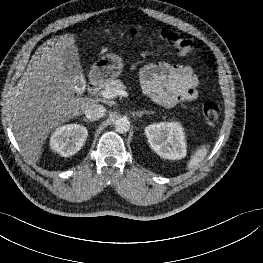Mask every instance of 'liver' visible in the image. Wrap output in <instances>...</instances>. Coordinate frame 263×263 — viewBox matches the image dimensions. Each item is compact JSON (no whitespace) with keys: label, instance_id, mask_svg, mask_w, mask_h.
<instances>
[{"label":"liver","instance_id":"liver-1","mask_svg":"<svg viewBox=\"0 0 263 263\" xmlns=\"http://www.w3.org/2000/svg\"><path fill=\"white\" fill-rule=\"evenodd\" d=\"M73 35H60L44 42L32 56L11 99L14 136L24 156L38 162L48 135L56 127L84 113L94 101L75 97L63 56L77 51Z\"/></svg>","mask_w":263,"mask_h":263}]
</instances>
